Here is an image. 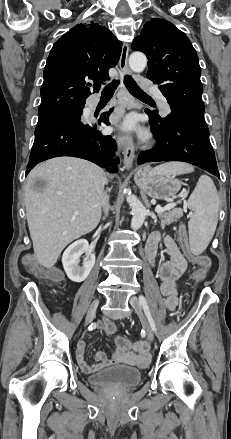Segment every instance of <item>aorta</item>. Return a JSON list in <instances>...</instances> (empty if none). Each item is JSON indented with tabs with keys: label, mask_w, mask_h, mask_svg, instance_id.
I'll return each instance as SVG.
<instances>
[{
	"label": "aorta",
	"mask_w": 231,
	"mask_h": 439,
	"mask_svg": "<svg viewBox=\"0 0 231 439\" xmlns=\"http://www.w3.org/2000/svg\"><path fill=\"white\" fill-rule=\"evenodd\" d=\"M147 65V58L142 52H133L129 57V66L133 72H142ZM127 203L132 209L131 228L138 230L144 223L147 210L142 202L134 195H128Z\"/></svg>",
	"instance_id": "aorta-1"
}]
</instances>
